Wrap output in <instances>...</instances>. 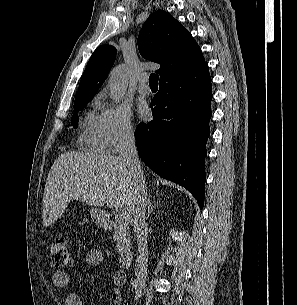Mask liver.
<instances>
[{
	"instance_id": "6515ba94",
	"label": "liver",
	"mask_w": 297,
	"mask_h": 305,
	"mask_svg": "<svg viewBox=\"0 0 297 305\" xmlns=\"http://www.w3.org/2000/svg\"><path fill=\"white\" fill-rule=\"evenodd\" d=\"M134 190V177L121 156L64 152L48 174L43 226L54 224L72 200L94 207H124L132 214Z\"/></svg>"
}]
</instances>
